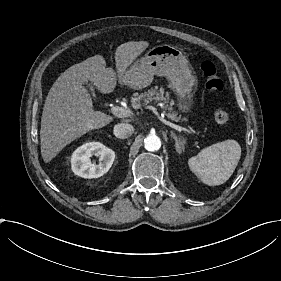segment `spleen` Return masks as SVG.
<instances>
[{"label":"spleen","instance_id":"spleen-1","mask_svg":"<svg viewBox=\"0 0 281 281\" xmlns=\"http://www.w3.org/2000/svg\"><path fill=\"white\" fill-rule=\"evenodd\" d=\"M241 157L237 142L228 140L204 149L190 159V168L208 185L225 183L234 173Z\"/></svg>","mask_w":281,"mask_h":281}]
</instances>
